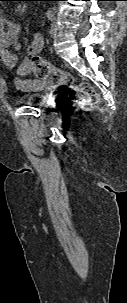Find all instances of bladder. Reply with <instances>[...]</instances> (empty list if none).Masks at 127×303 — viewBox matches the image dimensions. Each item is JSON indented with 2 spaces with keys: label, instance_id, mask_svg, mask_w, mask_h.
I'll list each match as a JSON object with an SVG mask.
<instances>
[{
  "label": "bladder",
  "instance_id": "31cf9c89",
  "mask_svg": "<svg viewBox=\"0 0 127 303\" xmlns=\"http://www.w3.org/2000/svg\"><path fill=\"white\" fill-rule=\"evenodd\" d=\"M17 103L37 106V107H44L45 102L41 99L40 94H24L17 99Z\"/></svg>",
  "mask_w": 127,
  "mask_h": 303
}]
</instances>
